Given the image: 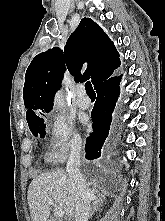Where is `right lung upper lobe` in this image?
I'll return each instance as SVG.
<instances>
[{
    "mask_svg": "<svg viewBox=\"0 0 165 221\" xmlns=\"http://www.w3.org/2000/svg\"><path fill=\"white\" fill-rule=\"evenodd\" d=\"M75 80L91 79L94 88L114 76L120 66L119 54L109 37L92 19L83 18L70 35L64 48H53L38 54L27 68L23 98L27 122L39 118L53 108V97L61 87L65 66ZM87 70L79 72L83 63Z\"/></svg>",
    "mask_w": 165,
    "mask_h": 221,
    "instance_id": "obj_1",
    "label": "right lung upper lobe"
}]
</instances>
